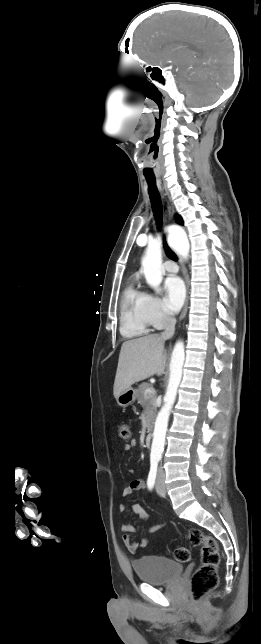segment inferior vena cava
<instances>
[{
    "instance_id": "inferior-vena-cava-1",
    "label": "inferior vena cava",
    "mask_w": 261,
    "mask_h": 644,
    "mask_svg": "<svg viewBox=\"0 0 261 644\" xmlns=\"http://www.w3.org/2000/svg\"><path fill=\"white\" fill-rule=\"evenodd\" d=\"M175 323L176 319L174 317L167 316V326L165 331L161 334L162 338L166 339L174 333ZM158 473H163L162 469H159Z\"/></svg>"
}]
</instances>
